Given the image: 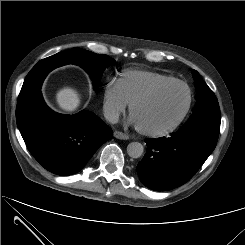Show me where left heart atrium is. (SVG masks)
I'll return each mask as SVG.
<instances>
[{
    "label": "left heart atrium",
    "mask_w": 245,
    "mask_h": 245,
    "mask_svg": "<svg viewBox=\"0 0 245 245\" xmlns=\"http://www.w3.org/2000/svg\"><path fill=\"white\" fill-rule=\"evenodd\" d=\"M130 123L133 124V125H135V126H137V124H136V122H135V120H134L133 117L130 118Z\"/></svg>",
    "instance_id": "obj_1"
}]
</instances>
